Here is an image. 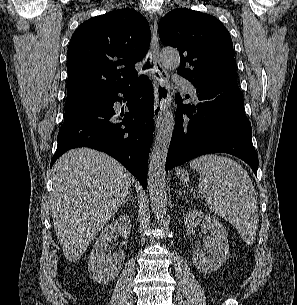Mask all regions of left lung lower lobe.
Instances as JSON below:
<instances>
[{"instance_id": "left-lung-lower-lobe-1", "label": "left lung lower lobe", "mask_w": 297, "mask_h": 305, "mask_svg": "<svg viewBox=\"0 0 297 305\" xmlns=\"http://www.w3.org/2000/svg\"><path fill=\"white\" fill-rule=\"evenodd\" d=\"M196 88L200 101L196 106L182 104L180 94L176 95L178 108L166 171L200 155L221 152L242 159L257 176L258 155L237 80Z\"/></svg>"}]
</instances>
